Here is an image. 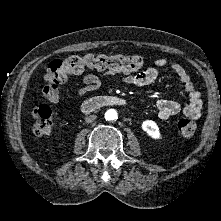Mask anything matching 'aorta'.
<instances>
[{"label": "aorta", "mask_w": 221, "mask_h": 221, "mask_svg": "<svg viewBox=\"0 0 221 221\" xmlns=\"http://www.w3.org/2000/svg\"><path fill=\"white\" fill-rule=\"evenodd\" d=\"M117 118H118V115L115 109H109L105 112L106 120H116Z\"/></svg>", "instance_id": "762f6f07"}]
</instances>
